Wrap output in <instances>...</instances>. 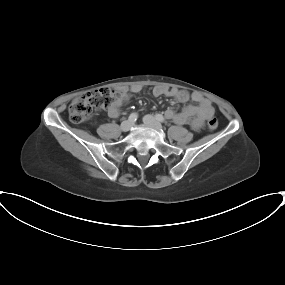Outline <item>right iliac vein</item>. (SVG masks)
I'll return each instance as SVG.
<instances>
[{
	"instance_id": "1",
	"label": "right iliac vein",
	"mask_w": 285,
	"mask_h": 285,
	"mask_svg": "<svg viewBox=\"0 0 285 285\" xmlns=\"http://www.w3.org/2000/svg\"><path fill=\"white\" fill-rule=\"evenodd\" d=\"M131 127H132V122L129 120L123 121L120 125V129L123 132L129 131Z\"/></svg>"
}]
</instances>
